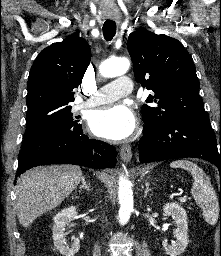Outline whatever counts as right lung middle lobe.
<instances>
[{
  "label": "right lung middle lobe",
  "instance_id": "obj_1",
  "mask_svg": "<svg viewBox=\"0 0 221 256\" xmlns=\"http://www.w3.org/2000/svg\"><path fill=\"white\" fill-rule=\"evenodd\" d=\"M71 106H41L27 111L24 139L48 127L74 124Z\"/></svg>",
  "mask_w": 221,
  "mask_h": 256
}]
</instances>
